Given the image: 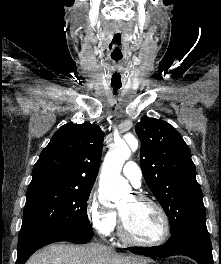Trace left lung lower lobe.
Segmentation results:
<instances>
[{
  "instance_id": "left-lung-lower-lobe-1",
  "label": "left lung lower lobe",
  "mask_w": 221,
  "mask_h": 264,
  "mask_svg": "<svg viewBox=\"0 0 221 264\" xmlns=\"http://www.w3.org/2000/svg\"><path fill=\"white\" fill-rule=\"evenodd\" d=\"M128 250L134 254L150 257L184 255L194 259L199 264H214L207 228L178 231L171 234V238L161 246L128 248Z\"/></svg>"
}]
</instances>
